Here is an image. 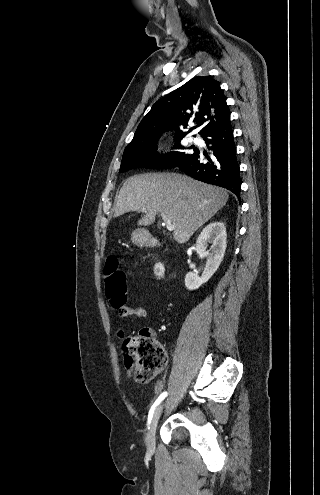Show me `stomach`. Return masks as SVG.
Here are the masks:
<instances>
[{"label":"stomach","instance_id":"obj_1","mask_svg":"<svg viewBox=\"0 0 320 495\" xmlns=\"http://www.w3.org/2000/svg\"><path fill=\"white\" fill-rule=\"evenodd\" d=\"M131 240L135 244L142 245L146 242V237L143 232L135 231L132 233Z\"/></svg>","mask_w":320,"mask_h":495}]
</instances>
